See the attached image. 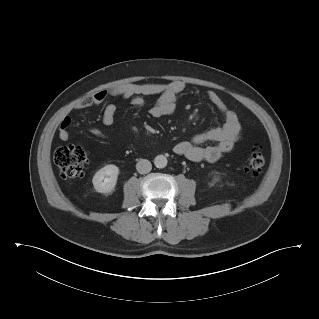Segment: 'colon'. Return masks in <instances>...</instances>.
Returning a JSON list of instances; mask_svg holds the SVG:
<instances>
[{
  "instance_id": "obj_1",
  "label": "colon",
  "mask_w": 319,
  "mask_h": 319,
  "mask_svg": "<svg viewBox=\"0 0 319 319\" xmlns=\"http://www.w3.org/2000/svg\"><path fill=\"white\" fill-rule=\"evenodd\" d=\"M54 158L63 178L73 180L83 176L87 154L81 146H62L57 149ZM264 165V155L261 148L256 145L248 157L246 169L251 173H259L263 170Z\"/></svg>"
}]
</instances>
